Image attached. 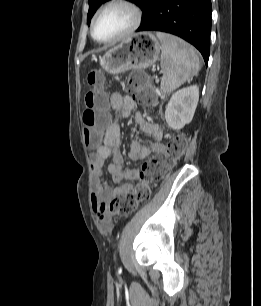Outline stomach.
Wrapping results in <instances>:
<instances>
[{"instance_id": "1", "label": "stomach", "mask_w": 261, "mask_h": 306, "mask_svg": "<svg viewBox=\"0 0 261 306\" xmlns=\"http://www.w3.org/2000/svg\"><path fill=\"white\" fill-rule=\"evenodd\" d=\"M160 49V43L153 33H136L106 51L99 58L100 66L113 75L131 69L143 70L158 60Z\"/></svg>"}]
</instances>
